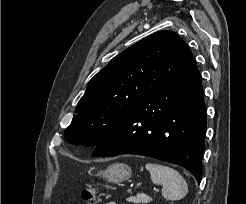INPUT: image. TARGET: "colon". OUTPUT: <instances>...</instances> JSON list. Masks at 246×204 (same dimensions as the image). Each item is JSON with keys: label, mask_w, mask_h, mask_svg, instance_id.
I'll list each match as a JSON object with an SVG mask.
<instances>
[{"label": "colon", "mask_w": 246, "mask_h": 204, "mask_svg": "<svg viewBox=\"0 0 246 204\" xmlns=\"http://www.w3.org/2000/svg\"><path fill=\"white\" fill-rule=\"evenodd\" d=\"M80 196L84 202H89L94 199L95 190L93 188H85L81 191Z\"/></svg>", "instance_id": "obj_1"}]
</instances>
